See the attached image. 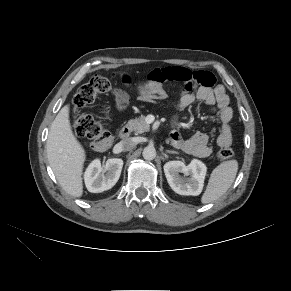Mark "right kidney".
Instances as JSON below:
<instances>
[{
    "label": "right kidney",
    "mask_w": 291,
    "mask_h": 291,
    "mask_svg": "<svg viewBox=\"0 0 291 291\" xmlns=\"http://www.w3.org/2000/svg\"><path fill=\"white\" fill-rule=\"evenodd\" d=\"M123 167V160L108 159L101 166L100 160H93L87 167L84 180L89 192L100 193L111 189L118 181Z\"/></svg>",
    "instance_id": "1"
}]
</instances>
